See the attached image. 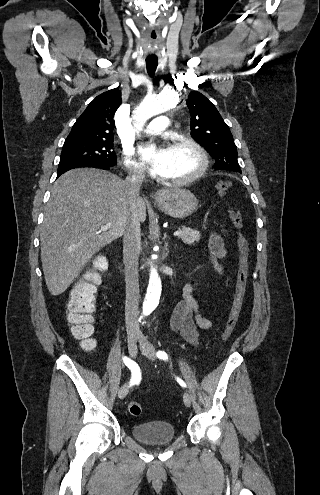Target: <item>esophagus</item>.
<instances>
[{"label":"esophagus","mask_w":320,"mask_h":495,"mask_svg":"<svg viewBox=\"0 0 320 495\" xmlns=\"http://www.w3.org/2000/svg\"><path fill=\"white\" fill-rule=\"evenodd\" d=\"M164 191L163 190H158L156 193H155V198L156 199H160L163 195H164Z\"/></svg>","instance_id":"obj_1"}]
</instances>
